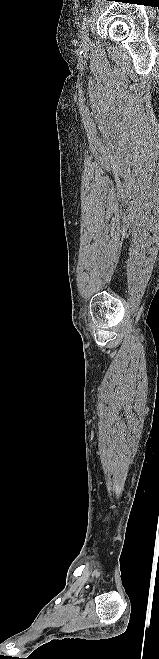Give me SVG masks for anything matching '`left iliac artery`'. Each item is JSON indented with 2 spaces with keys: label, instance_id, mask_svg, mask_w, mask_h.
<instances>
[{
  "label": "left iliac artery",
  "instance_id": "obj_1",
  "mask_svg": "<svg viewBox=\"0 0 159 659\" xmlns=\"http://www.w3.org/2000/svg\"><path fill=\"white\" fill-rule=\"evenodd\" d=\"M89 23H90V17H89V16H85L84 19H83V24H82V34H83V35H84L85 33H87V31H88V27H89Z\"/></svg>",
  "mask_w": 159,
  "mask_h": 659
}]
</instances>
